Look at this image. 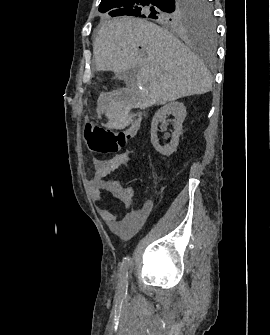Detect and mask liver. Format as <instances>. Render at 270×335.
Masks as SVG:
<instances>
[{
    "instance_id": "6515ba94",
    "label": "liver",
    "mask_w": 270,
    "mask_h": 335,
    "mask_svg": "<svg viewBox=\"0 0 270 335\" xmlns=\"http://www.w3.org/2000/svg\"><path fill=\"white\" fill-rule=\"evenodd\" d=\"M93 58L98 72L117 74L132 68L145 106H161L212 88V78L198 56L171 32L142 18L123 16L104 22L95 38Z\"/></svg>"
}]
</instances>
